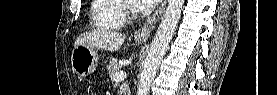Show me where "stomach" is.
Listing matches in <instances>:
<instances>
[{"label": "stomach", "instance_id": "stomach-1", "mask_svg": "<svg viewBox=\"0 0 277 95\" xmlns=\"http://www.w3.org/2000/svg\"><path fill=\"white\" fill-rule=\"evenodd\" d=\"M137 39V42H142ZM98 54L94 47L79 45L75 47L71 54V66L75 74L86 77L96 69Z\"/></svg>", "mask_w": 277, "mask_h": 95}]
</instances>
